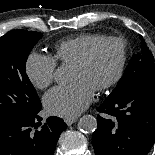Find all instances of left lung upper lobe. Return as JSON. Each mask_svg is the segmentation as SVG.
I'll return each instance as SVG.
<instances>
[{
	"label": "left lung upper lobe",
	"mask_w": 155,
	"mask_h": 155,
	"mask_svg": "<svg viewBox=\"0 0 155 155\" xmlns=\"http://www.w3.org/2000/svg\"><path fill=\"white\" fill-rule=\"evenodd\" d=\"M140 41L139 52L133 55L122 79L110 95H116L128 89L145 85L151 80H155L153 55L142 36H140Z\"/></svg>",
	"instance_id": "5c2ea615"
}]
</instances>
